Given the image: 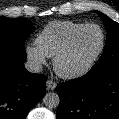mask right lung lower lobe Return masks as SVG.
I'll return each mask as SVG.
<instances>
[{"label":"right lung lower lobe","mask_w":119,"mask_h":119,"mask_svg":"<svg viewBox=\"0 0 119 119\" xmlns=\"http://www.w3.org/2000/svg\"><path fill=\"white\" fill-rule=\"evenodd\" d=\"M25 60L0 54V119H25L46 93V76L28 72Z\"/></svg>","instance_id":"98d812e1"}]
</instances>
